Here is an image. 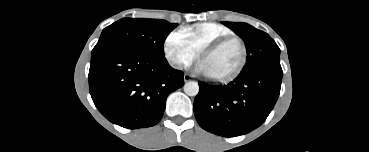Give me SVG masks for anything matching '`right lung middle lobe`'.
Listing matches in <instances>:
<instances>
[{
  "label": "right lung middle lobe",
  "mask_w": 369,
  "mask_h": 152,
  "mask_svg": "<svg viewBox=\"0 0 369 152\" xmlns=\"http://www.w3.org/2000/svg\"><path fill=\"white\" fill-rule=\"evenodd\" d=\"M177 26L165 20L123 18L102 31L91 58L114 50H130L164 59V41Z\"/></svg>",
  "instance_id": "1"
}]
</instances>
